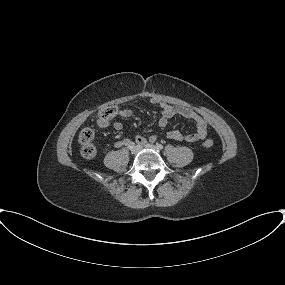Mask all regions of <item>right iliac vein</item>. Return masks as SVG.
<instances>
[{"label": "right iliac vein", "mask_w": 285, "mask_h": 285, "mask_svg": "<svg viewBox=\"0 0 285 285\" xmlns=\"http://www.w3.org/2000/svg\"><path fill=\"white\" fill-rule=\"evenodd\" d=\"M140 150L139 146H135L133 149H131L132 154H136Z\"/></svg>", "instance_id": "right-iliac-vein-1"}]
</instances>
